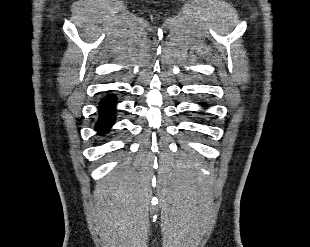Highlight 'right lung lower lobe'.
I'll return each instance as SVG.
<instances>
[{
  "instance_id": "1",
  "label": "right lung lower lobe",
  "mask_w": 310,
  "mask_h": 247,
  "mask_svg": "<svg viewBox=\"0 0 310 247\" xmlns=\"http://www.w3.org/2000/svg\"><path fill=\"white\" fill-rule=\"evenodd\" d=\"M115 104L116 100L113 96H107L99 104L100 119L96 124V130L100 134L108 132L109 128L115 121Z\"/></svg>"
}]
</instances>
